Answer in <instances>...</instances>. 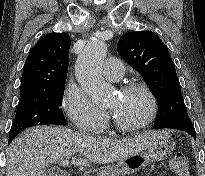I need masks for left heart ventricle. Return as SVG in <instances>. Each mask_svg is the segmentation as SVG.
I'll return each instance as SVG.
<instances>
[{
    "instance_id": "1",
    "label": "left heart ventricle",
    "mask_w": 205,
    "mask_h": 176,
    "mask_svg": "<svg viewBox=\"0 0 205 176\" xmlns=\"http://www.w3.org/2000/svg\"><path fill=\"white\" fill-rule=\"evenodd\" d=\"M108 109L123 123L135 125L149 113V102L141 92L121 93L112 96Z\"/></svg>"
}]
</instances>
